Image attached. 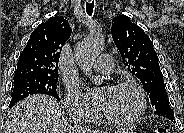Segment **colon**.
<instances>
[{
    "mask_svg": "<svg viewBox=\"0 0 184 133\" xmlns=\"http://www.w3.org/2000/svg\"><path fill=\"white\" fill-rule=\"evenodd\" d=\"M168 129L166 127H159L155 133H168Z\"/></svg>",
    "mask_w": 184,
    "mask_h": 133,
    "instance_id": "colon-1",
    "label": "colon"
}]
</instances>
